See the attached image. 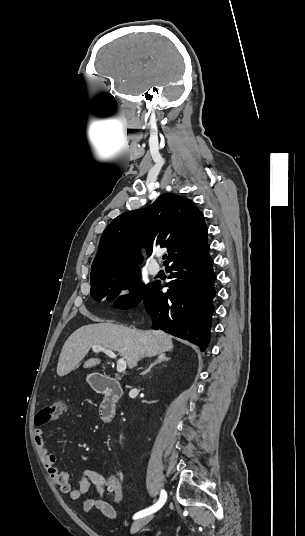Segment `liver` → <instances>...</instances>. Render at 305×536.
<instances>
[{
  "label": "liver",
  "instance_id": "obj_1",
  "mask_svg": "<svg viewBox=\"0 0 305 536\" xmlns=\"http://www.w3.org/2000/svg\"><path fill=\"white\" fill-rule=\"evenodd\" d=\"M95 322H99L95 318ZM173 336L162 330H131L117 324H90L73 332L66 340L57 364L58 376H67L85 358L92 346H103L119 352L129 368H135L140 358H152L173 350ZM101 360L91 358L83 368H93Z\"/></svg>",
  "mask_w": 305,
  "mask_h": 536
}]
</instances>
